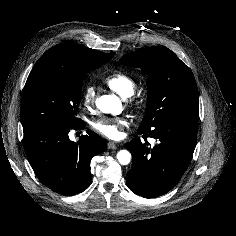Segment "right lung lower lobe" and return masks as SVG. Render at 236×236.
Returning <instances> with one entry per match:
<instances>
[{"label":"right lung lower lobe","mask_w":236,"mask_h":236,"mask_svg":"<svg viewBox=\"0 0 236 236\" xmlns=\"http://www.w3.org/2000/svg\"><path fill=\"white\" fill-rule=\"evenodd\" d=\"M85 123L71 126L57 122H36L23 127L24 148L34 172L51 190L65 196L80 193L92 176L91 159L107 149L105 140L93 131L70 141L71 129H83Z\"/></svg>","instance_id":"right-lung-lower-lobe-1"}]
</instances>
